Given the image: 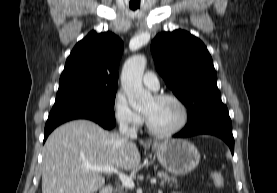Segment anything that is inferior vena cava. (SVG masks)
I'll return each mask as SVG.
<instances>
[{
	"instance_id": "1",
	"label": "inferior vena cava",
	"mask_w": 277,
	"mask_h": 193,
	"mask_svg": "<svg viewBox=\"0 0 277 193\" xmlns=\"http://www.w3.org/2000/svg\"><path fill=\"white\" fill-rule=\"evenodd\" d=\"M119 132L125 138H137L136 130L129 127V123L125 118L120 119Z\"/></svg>"
}]
</instances>
